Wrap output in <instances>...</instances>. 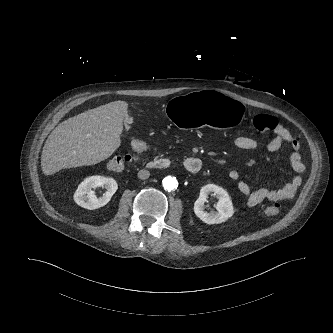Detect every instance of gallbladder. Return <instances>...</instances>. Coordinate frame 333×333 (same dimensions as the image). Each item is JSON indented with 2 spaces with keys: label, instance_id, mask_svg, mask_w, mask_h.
<instances>
[{
  "label": "gallbladder",
  "instance_id": "gallbladder-1",
  "mask_svg": "<svg viewBox=\"0 0 333 333\" xmlns=\"http://www.w3.org/2000/svg\"><path fill=\"white\" fill-rule=\"evenodd\" d=\"M132 123H133V118L127 115V117L124 120L125 131L128 132L131 129Z\"/></svg>",
  "mask_w": 333,
  "mask_h": 333
}]
</instances>
